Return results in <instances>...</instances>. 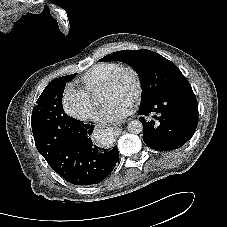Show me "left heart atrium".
Returning <instances> with one entry per match:
<instances>
[{"label": "left heart atrium", "instance_id": "left-heart-atrium-1", "mask_svg": "<svg viewBox=\"0 0 227 227\" xmlns=\"http://www.w3.org/2000/svg\"><path fill=\"white\" fill-rule=\"evenodd\" d=\"M132 109V101L110 100L106 102L100 118L104 123H115L125 118Z\"/></svg>", "mask_w": 227, "mask_h": 227}]
</instances>
